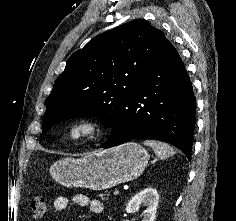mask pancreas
I'll use <instances>...</instances> for the list:
<instances>
[{
  "mask_svg": "<svg viewBox=\"0 0 236 221\" xmlns=\"http://www.w3.org/2000/svg\"><path fill=\"white\" fill-rule=\"evenodd\" d=\"M100 198H101L102 200L108 199V197H106V194H100Z\"/></svg>",
  "mask_w": 236,
  "mask_h": 221,
  "instance_id": "cf45deb5",
  "label": "pancreas"
}]
</instances>
